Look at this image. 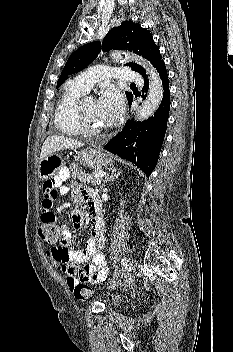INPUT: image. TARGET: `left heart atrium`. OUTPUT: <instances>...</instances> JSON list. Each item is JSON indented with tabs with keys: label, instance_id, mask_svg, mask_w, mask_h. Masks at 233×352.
I'll list each match as a JSON object with an SVG mask.
<instances>
[{
	"label": "left heart atrium",
	"instance_id": "39dd6f15",
	"mask_svg": "<svg viewBox=\"0 0 233 352\" xmlns=\"http://www.w3.org/2000/svg\"><path fill=\"white\" fill-rule=\"evenodd\" d=\"M123 107L121 95L113 88L104 89L97 100V110L105 126H110L119 118Z\"/></svg>",
	"mask_w": 233,
	"mask_h": 352
}]
</instances>
